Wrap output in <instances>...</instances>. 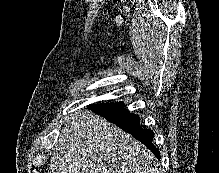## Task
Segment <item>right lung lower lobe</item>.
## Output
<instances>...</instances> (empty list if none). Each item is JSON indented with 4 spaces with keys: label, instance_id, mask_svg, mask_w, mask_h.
Wrapping results in <instances>:
<instances>
[{
    "label": "right lung lower lobe",
    "instance_id": "1",
    "mask_svg": "<svg viewBox=\"0 0 219 173\" xmlns=\"http://www.w3.org/2000/svg\"><path fill=\"white\" fill-rule=\"evenodd\" d=\"M89 109L100 114L108 121L115 123L125 132L131 134L137 140L142 142L148 149H150L157 158H160L158 149L153 146L152 139L154 133L151 130L143 129L139 126V116L130 113L123 102L115 103H100L88 106Z\"/></svg>",
    "mask_w": 219,
    "mask_h": 173
}]
</instances>
